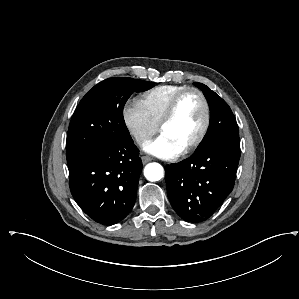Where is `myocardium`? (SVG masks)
I'll return each instance as SVG.
<instances>
[{
	"label": "myocardium",
	"instance_id": "myocardium-1",
	"mask_svg": "<svg viewBox=\"0 0 299 299\" xmlns=\"http://www.w3.org/2000/svg\"><path fill=\"white\" fill-rule=\"evenodd\" d=\"M189 93H195L201 99L204 107V119L197 136L185 148L182 149L181 151L182 154H187L192 150H194L196 147H198L207 134L210 125V120H211V111H210L209 102L206 96L204 95V93L201 90L194 87H187L182 91H180L179 93H177L174 96V98L171 100L170 104L165 110L163 117L161 118L158 124V131L161 133L162 129L173 120L175 113L178 109L179 103L181 102L183 97H185Z\"/></svg>",
	"mask_w": 299,
	"mask_h": 299
}]
</instances>
